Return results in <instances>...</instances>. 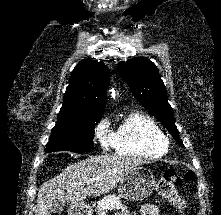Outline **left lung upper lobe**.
I'll return each instance as SVG.
<instances>
[{
	"mask_svg": "<svg viewBox=\"0 0 221 215\" xmlns=\"http://www.w3.org/2000/svg\"><path fill=\"white\" fill-rule=\"evenodd\" d=\"M117 70L136 99L163 123L181 146H184L174 123L173 109L167 101L166 88L155 64L147 58L137 57L120 62Z\"/></svg>",
	"mask_w": 221,
	"mask_h": 215,
	"instance_id": "obj_1",
	"label": "left lung upper lobe"
}]
</instances>
